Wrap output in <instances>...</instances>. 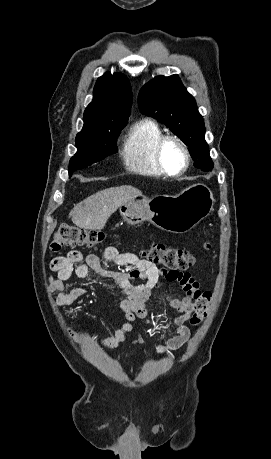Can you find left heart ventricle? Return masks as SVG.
<instances>
[{
    "mask_svg": "<svg viewBox=\"0 0 271 459\" xmlns=\"http://www.w3.org/2000/svg\"><path fill=\"white\" fill-rule=\"evenodd\" d=\"M163 158L172 172L182 171L186 166L185 151L177 140L170 139L164 144Z\"/></svg>",
    "mask_w": 271,
    "mask_h": 459,
    "instance_id": "left-heart-ventricle-1",
    "label": "left heart ventricle"
}]
</instances>
